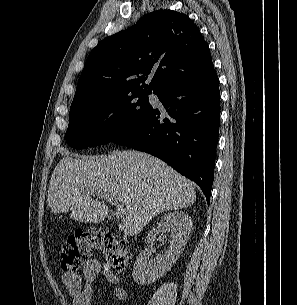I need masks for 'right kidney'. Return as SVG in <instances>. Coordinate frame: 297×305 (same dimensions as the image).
<instances>
[{"label":"right kidney","mask_w":297,"mask_h":305,"mask_svg":"<svg viewBox=\"0 0 297 305\" xmlns=\"http://www.w3.org/2000/svg\"><path fill=\"white\" fill-rule=\"evenodd\" d=\"M193 222L188 214L174 211L165 214L157 227L146 239L153 245L157 236L168 238L169 246L164 254L152 259L146 250L138 255L133 267V280L139 285H148L160 279L177 261L190 237ZM171 230V233L169 234Z\"/></svg>","instance_id":"obj_1"}]
</instances>
